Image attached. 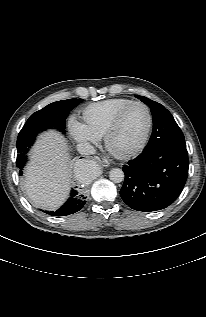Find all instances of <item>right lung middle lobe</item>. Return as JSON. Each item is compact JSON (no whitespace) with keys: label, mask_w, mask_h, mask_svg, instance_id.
Wrapping results in <instances>:
<instances>
[{"label":"right lung middle lobe","mask_w":206,"mask_h":317,"mask_svg":"<svg viewBox=\"0 0 206 317\" xmlns=\"http://www.w3.org/2000/svg\"><path fill=\"white\" fill-rule=\"evenodd\" d=\"M82 99H68L53 102L30 116L17 138V167L22 175L26 162V153L33 144L36 135L48 128H56L65 132L66 118Z\"/></svg>","instance_id":"right-lung-middle-lobe-1"}]
</instances>
